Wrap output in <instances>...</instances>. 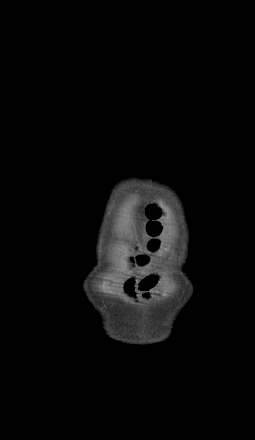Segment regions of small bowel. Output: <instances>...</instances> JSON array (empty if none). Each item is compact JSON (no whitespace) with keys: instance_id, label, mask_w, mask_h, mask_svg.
Returning <instances> with one entry per match:
<instances>
[{"instance_id":"1","label":"small bowel","mask_w":255,"mask_h":440,"mask_svg":"<svg viewBox=\"0 0 255 440\" xmlns=\"http://www.w3.org/2000/svg\"><path fill=\"white\" fill-rule=\"evenodd\" d=\"M157 284L158 277L153 274L145 275L139 280L131 278L124 284V293L130 297L135 296L137 293H142L143 296L146 297L157 286Z\"/></svg>"}]
</instances>
